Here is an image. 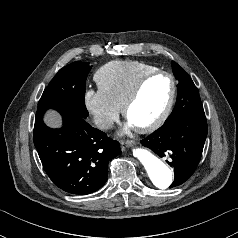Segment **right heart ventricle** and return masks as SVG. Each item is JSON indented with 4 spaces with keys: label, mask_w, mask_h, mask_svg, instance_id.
<instances>
[{
    "label": "right heart ventricle",
    "mask_w": 238,
    "mask_h": 238,
    "mask_svg": "<svg viewBox=\"0 0 238 238\" xmlns=\"http://www.w3.org/2000/svg\"><path fill=\"white\" fill-rule=\"evenodd\" d=\"M156 70L143 62L111 61L96 71L94 80L104 96L120 109L136 83Z\"/></svg>",
    "instance_id": "1"
}]
</instances>
